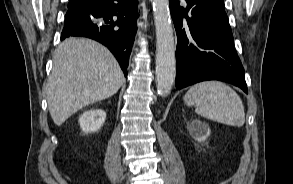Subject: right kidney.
Segmentation results:
<instances>
[{"label":"right kidney","mask_w":293,"mask_h":184,"mask_svg":"<svg viewBox=\"0 0 293 184\" xmlns=\"http://www.w3.org/2000/svg\"><path fill=\"white\" fill-rule=\"evenodd\" d=\"M106 112L101 109L85 111L79 117V125L84 133L97 132L104 124Z\"/></svg>","instance_id":"1"}]
</instances>
